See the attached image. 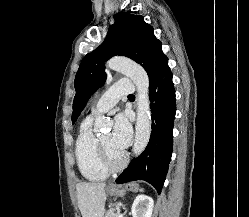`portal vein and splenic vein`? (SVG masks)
I'll use <instances>...</instances> for the list:
<instances>
[{"label": "portal vein and splenic vein", "mask_w": 249, "mask_h": 217, "mask_svg": "<svg viewBox=\"0 0 249 217\" xmlns=\"http://www.w3.org/2000/svg\"><path fill=\"white\" fill-rule=\"evenodd\" d=\"M117 217H123V214H118V216Z\"/></svg>", "instance_id": "1"}]
</instances>
